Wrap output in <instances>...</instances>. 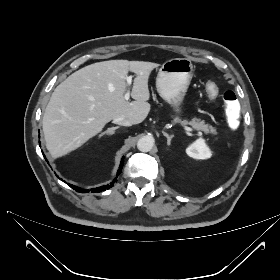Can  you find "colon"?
<instances>
[{"label": "colon", "instance_id": "5ec220e1", "mask_svg": "<svg viewBox=\"0 0 280 280\" xmlns=\"http://www.w3.org/2000/svg\"><path fill=\"white\" fill-rule=\"evenodd\" d=\"M204 91L207 97L211 100H214L218 95V87L211 81L205 83ZM222 98L226 105L229 126L232 128L239 127L241 124V102L237 100V96L232 90H225L222 94Z\"/></svg>", "mask_w": 280, "mask_h": 280}]
</instances>
